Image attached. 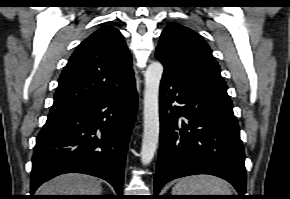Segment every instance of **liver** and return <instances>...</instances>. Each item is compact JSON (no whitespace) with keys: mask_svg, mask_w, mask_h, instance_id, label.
Masks as SVG:
<instances>
[{"mask_svg":"<svg viewBox=\"0 0 290 199\" xmlns=\"http://www.w3.org/2000/svg\"><path fill=\"white\" fill-rule=\"evenodd\" d=\"M101 181L83 174H64L44 183L39 195H100Z\"/></svg>","mask_w":290,"mask_h":199,"instance_id":"1","label":"liver"}]
</instances>
